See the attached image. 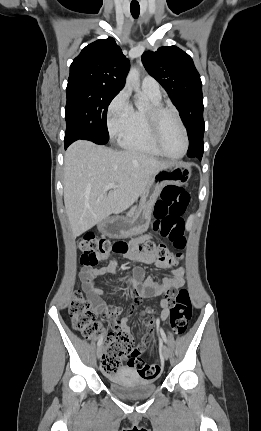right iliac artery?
<instances>
[{
    "label": "right iliac artery",
    "mask_w": 261,
    "mask_h": 431,
    "mask_svg": "<svg viewBox=\"0 0 261 431\" xmlns=\"http://www.w3.org/2000/svg\"><path fill=\"white\" fill-rule=\"evenodd\" d=\"M102 341H103V335H101L100 338H99V340H98V343H97L98 347L101 346Z\"/></svg>",
    "instance_id": "82829eb1"
}]
</instances>
